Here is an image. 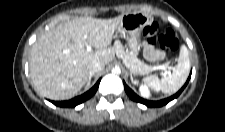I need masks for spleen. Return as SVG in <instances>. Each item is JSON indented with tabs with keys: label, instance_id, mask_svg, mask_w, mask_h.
Listing matches in <instances>:
<instances>
[{
	"label": "spleen",
	"instance_id": "obj_1",
	"mask_svg": "<svg viewBox=\"0 0 225 132\" xmlns=\"http://www.w3.org/2000/svg\"><path fill=\"white\" fill-rule=\"evenodd\" d=\"M190 71L189 52L185 45L180 48L178 64L175 66L172 74L163 77L161 80L156 77H147L144 82L147 83L156 92L162 91L165 94H171L178 91L185 83Z\"/></svg>",
	"mask_w": 225,
	"mask_h": 132
}]
</instances>
